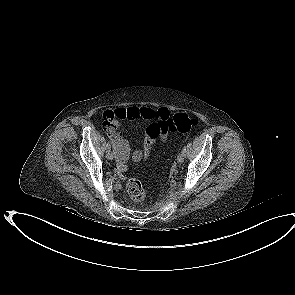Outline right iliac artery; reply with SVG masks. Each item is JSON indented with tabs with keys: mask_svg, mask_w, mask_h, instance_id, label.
Wrapping results in <instances>:
<instances>
[{
	"mask_svg": "<svg viewBox=\"0 0 295 295\" xmlns=\"http://www.w3.org/2000/svg\"><path fill=\"white\" fill-rule=\"evenodd\" d=\"M106 147H107V149H111V145L109 143L107 144Z\"/></svg>",
	"mask_w": 295,
	"mask_h": 295,
	"instance_id": "right-iliac-artery-1",
	"label": "right iliac artery"
}]
</instances>
